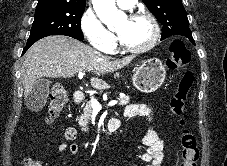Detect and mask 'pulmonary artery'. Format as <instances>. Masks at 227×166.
I'll return each mask as SVG.
<instances>
[{
    "mask_svg": "<svg viewBox=\"0 0 227 166\" xmlns=\"http://www.w3.org/2000/svg\"><path fill=\"white\" fill-rule=\"evenodd\" d=\"M137 0H117V4L122 9H131L135 6Z\"/></svg>",
    "mask_w": 227,
    "mask_h": 166,
    "instance_id": "1",
    "label": "pulmonary artery"
}]
</instances>
